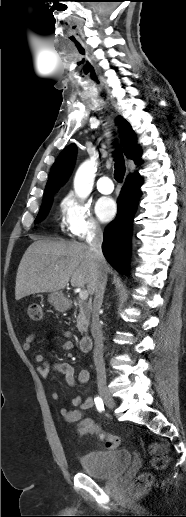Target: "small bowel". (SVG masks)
Instances as JSON below:
<instances>
[{"label": "small bowel", "instance_id": "small-bowel-1", "mask_svg": "<svg viewBox=\"0 0 186 517\" xmlns=\"http://www.w3.org/2000/svg\"><path fill=\"white\" fill-rule=\"evenodd\" d=\"M63 335L69 337L71 334L70 332H64ZM34 340V333L27 335L23 343V349L25 351H29ZM73 348L74 344L70 340L63 342L61 345V349L64 351H70ZM35 362L37 363V371L42 377H46L49 374L50 369H52L53 371L62 374L67 385L71 387H75L78 384H86L90 380V371L88 369H81L76 374L73 366L66 362H55L50 366L45 356L42 354L35 356ZM52 399L58 401L60 399V394L56 391L53 392ZM93 405L94 401L91 396H86L85 398L76 396L70 400L67 407H63L60 411L66 422L78 424L76 429V435L78 437H83L88 434H96L98 436V431L101 430L93 421L83 419L85 413L89 411Z\"/></svg>", "mask_w": 186, "mask_h": 517}]
</instances>
